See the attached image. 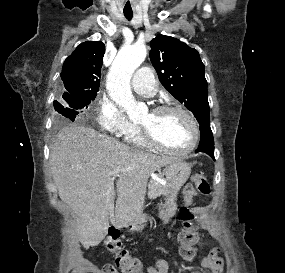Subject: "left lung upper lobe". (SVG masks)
<instances>
[{"label":"left lung upper lobe","mask_w":285,"mask_h":273,"mask_svg":"<svg viewBox=\"0 0 285 273\" xmlns=\"http://www.w3.org/2000/svg\"><path fill=\"white\" fill-rule=\"evenodd\" d=\"M150 60L166 90L193 112L200 125L210 122L204 64L197 50L158 35L151 41Z\"/></svg>","instance_id":"obj_1"}]
</instances>
